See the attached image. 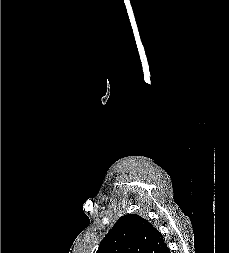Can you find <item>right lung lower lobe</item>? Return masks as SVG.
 <instances>
[{
  "instance_id": "1",
  "label": "right lung lower lobe",
  "mask_w": 229,
  "mask_h": 253,
  "mask_svg": "<svg viewBox=\"0 0 229 253\" xmlns=\"http://www.w3.org/2000/svg\"><path fill=\"white\" fill-rule=\"evenodd\" d=\"M165 253H170L169 248L166 250V252H165Z\"/></svg>"
}]
</instances>
